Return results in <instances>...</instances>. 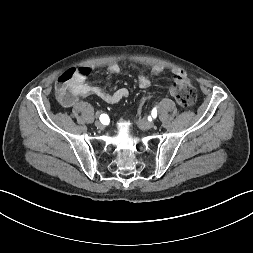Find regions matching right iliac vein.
Segmentation results:
<instances>
[{
    "mask_svg": "<svg viewBox=\"0 0 253 253\" xmlns=\"http://www.w3.org/2000/svg\"><path fill=\"white\" fill-rule=\"evenodd\" d=\"M95 126L98 128V129H102L104 127V124L100 121H96L95 122Z\"/></svg>",
    "mask_w": 253,
    "mask_h": 253,
    "instance_id": "obj_1",
    "label": "right iliac vein"
}]
</instances>
